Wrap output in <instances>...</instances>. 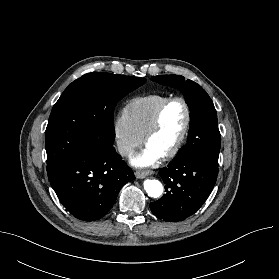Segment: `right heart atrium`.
<instances>
[{"mask_svg":"<svg viewBox=\"0 0 279 279\" xmlns=\"http://www.w3.org/2000/svg\"><path fill=\"white\" fill-rule=\"evenodd\" d=\"M114 134L117 150L122 156L132 154L142 141V136L134 129L124 112L114 120Z\"/></svg>","mask_w":279,"mask_h":279,"instance_id":"obj_1","label":"right heart atrium"}]
</instances>
